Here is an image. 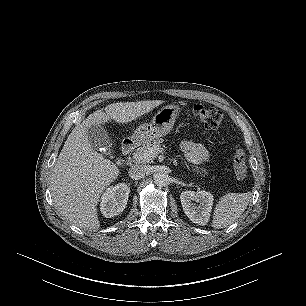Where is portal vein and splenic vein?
<instances>
[{
  "instance_id": "18ae733b",
  "label": "portal vein and splenic vein",
  "mask_w": 306,
  "mask_h": 306,
  "mask_svg": "<svg viewBox=\"0 0 306 306\" xmlns=\"http://www.w3.org/2000/svg\"><path fill=\"white\" fill-rule=\"evenodd\" d=\"M161 151L162 149L158 147L151 148L143 155V157L149 160V159L156 157Z\"/></svg>"
}]
</instances>
